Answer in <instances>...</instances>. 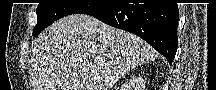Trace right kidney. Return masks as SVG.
Wrapping results in <instances>:
<instances>
[{"label": "right kidney", "instance_id": "1", "mask_svg": "<svg viewBox=\"0 0 216 90\" xmlns=\"http://www.w3.org/2000/svg\"><path fill=\"white\" fill-rule=\"evenodd\" d=\"M137 86H139V84H137ZM126 88H127V90H132V88H134V86H130V84H126Z\"/></svg>", "mask_w": 216, "mask_h": 90}]
</instances>
